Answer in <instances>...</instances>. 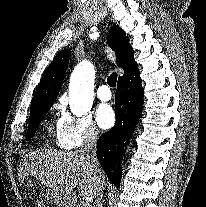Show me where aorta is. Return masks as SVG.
I'll return each mask as SVG.
<instances>
[{
	"label": "aorta",
	"mask_w": 206,
	"mask_h": 207,
	"mask_svg": "<svg viewBox=\"0 0 206 207\" xmlns=\"http://www.w3.org/2000/svg\"><path fill=\"white\" fill-rule=\"evenodd\" d=\"M95 70L88 61L79 63L70 78L69 105L71 112L80 117L92 107Z\"/></svg>",
	"instance_id": "obj_1"
}]
</instances>
